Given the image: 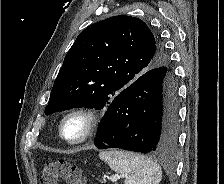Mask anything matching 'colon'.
I'll return each instance as SVG.
<instances>
[{
	"instance_id": "obj_1",
	"label": "colon",
	"mask_w": 224,
	"mask_h": 184,
	"mask_svg": "<svg viewBox=\"0 0 224 184\" xmlns=\"http://www.w3.org/2000/svg\"><path fill=\"white\" fill-rule=\"evenodd\" d=\"M60 181H64L66 184H86L82 170L66 160L43 164L40 173V184H58Z\"/></svg>"
}]
</instances>
